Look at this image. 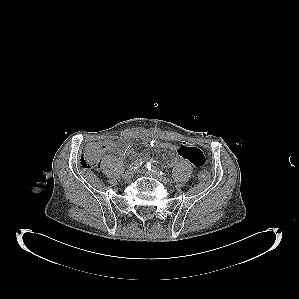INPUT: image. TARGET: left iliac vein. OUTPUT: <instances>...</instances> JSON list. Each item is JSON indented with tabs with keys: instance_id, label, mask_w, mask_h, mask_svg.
I'll use <instances>...</instances> for the list:
<instances>
[{
	"instance_id": "4c4485c4",
	"label": "left iliac vein",
	"mask_w": 299,
	"mask_h": 299,
	"mask_svg": "<svg viewBox=\"0 0 299 299\" xmlns=\"http://www.w3.org/2000/svg\"><path fill=\"white\" fill-rule=\"evenodd\" d=\"M141 172L143 174H145L146 176H150V177H153V178H156L164 183H168L169 182V179L168 178H165V177H162L156 173H153V172H146L144 169H141Z\"/></svg>"
}]
</instances>
